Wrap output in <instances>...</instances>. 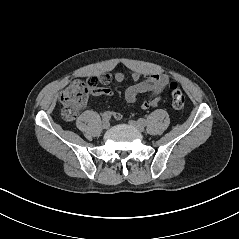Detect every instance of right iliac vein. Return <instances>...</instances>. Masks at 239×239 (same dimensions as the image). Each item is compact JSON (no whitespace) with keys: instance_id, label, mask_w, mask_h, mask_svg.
Instances as JSON below:
<instances>
[{"instance_id":"1","label":"right iliac vein","mask_w":239,"mask_h":239,"mask_svg":"<svg viewBox=\"0 0 239 239\" xmlns=\"http://www.w3.org/2000/svg\"><path fill=\"white\" fill-rule=\"evenodd\" d=\"M103 129H108L110 127L109 121H104L102 124Z\"/></svg>"}]
</instances>
